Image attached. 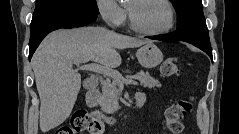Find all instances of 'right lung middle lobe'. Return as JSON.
<instances>
[{
	"mask_svg": "<svg viewBox=\"0 0 239 134\" xmlns=\"http://www.w3.org/2000/svg\"><path fill=\"white\" fill-rule=\"evenodd\" d=\"M61 10H78L99 14L96 0H36L31 26L46 16Z\"/></svg>",
	"mask_w": 239,
	"mask_h": 134,
	"instance_id": "right-lung-middle-lobe-1",
	"label": "right lung middle lobe"
}]
</instances>
